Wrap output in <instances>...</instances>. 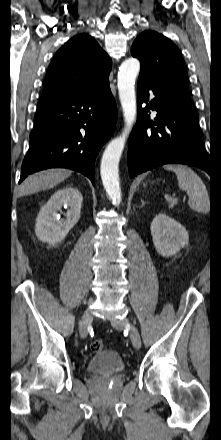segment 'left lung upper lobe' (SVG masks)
<instances>
[{"label": "left lung upper lobe", "instance_id": "5c2ea615", "mask_svg": "<svg viewBox=\"0 0 221 440\" xmlns=\"http://www.w3.org/2000/svg\"><path fill=\"white\" fill-rule=\"evenodd\" d=\"M131 53L140 60L139 77L191 102L185 62L170 39L155 31H144L135 39Z\"/></svg>", "mask_w": 221, "mask_h": 440}]
</instances>
